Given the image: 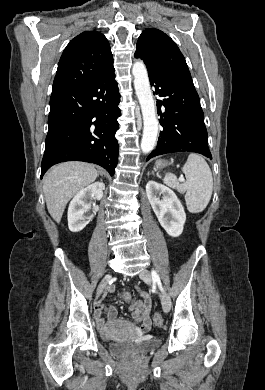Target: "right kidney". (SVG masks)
<instances>
[{
	"instance_id": "right-kidney-1",
	"label": "right kidney",
	"mask_w": 265,
	"mask_h": 390,
	"mask_svg": "<svg viewBox=\"0 0 265 390\" xmlns=\"http://www.w3.org/2000/svg\"><path fill=\"white\" fill-rule=\"evenodd\" d=\"M103 190H105L104 183L95 182L74 196L68 208V227L71 232L81 231L90 222L91 218L85 215L90 209L88 201L93 197L100 200Z\"/></svg>"
}]
</instances>
